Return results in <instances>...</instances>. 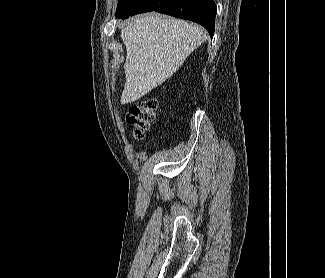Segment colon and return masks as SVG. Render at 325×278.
<instances>
[{
    "label": "colon",
    "instance_id": "obj_1",
    "mask_svg": "<svg viewBox=\"0 0 325 278\" xmlns=\"http://www.w3.org/2000/svg\"><path fill=\"white\" fill-rule=\"evenodd\" d=\"M157 101L146 99L132 105L126 115V123L132 128L133 136L141 140L155 119Z\"/></svg>",
    "mask_w": 325,
    "mask_h": 278
}]
</instances>
